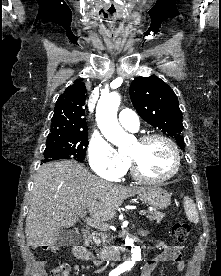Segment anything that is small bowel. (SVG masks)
<instances>
[{"label": "small bowel", "mask_w": 221, "mask_h": 276, "mask_svg": "<svg viewBox=\"0 0 221 276\" xmlns=\"http://www.w3.org/2000/svg\"><path fill=\"white\" fill-rule=\"evenodd\" d=\"M158 245L162 248L163 252L160 255L145 262L141 276H150L158 263L164 261L175 262L177 264L178 271L182 272L185 269V263L182 260V246H169L164 243H159ZM74 254L78 259L81 260H93V255L91 252L84 247H75ZM93 261L96 265H100L101 263L98 260Z\"/></svg>", "instance_id": "obj_1"}]
</instances>
